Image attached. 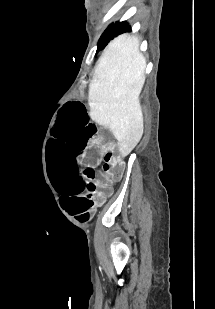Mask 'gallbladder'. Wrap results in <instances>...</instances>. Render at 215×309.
I'll return each mask as SVG.
<instances>
[{
	"label": "gallbladder",
	"mask_w": 215,
	"mask_h": 309,
	"mask_svg": "<svg viewBox=\"0 0 215 309\" xmlns=\"http://www.w3.org/2000/svg\"><path fill=\"white\" fill-rule=\"evenodd\" d=\"M100 135L107 136V138H112L113 130L112 129H103V127H99Z\"/></svg>",
	"instance_id": "obj_1"
}]
</instances>
